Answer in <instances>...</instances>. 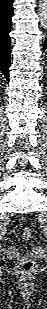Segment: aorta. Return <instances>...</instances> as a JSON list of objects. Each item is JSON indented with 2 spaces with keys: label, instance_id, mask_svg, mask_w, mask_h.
Listing matches in <instances>:
<instances>
[{
  "label": "aorta",
  "instance_id": "762f6f07",
  "mask_svg": "<svg viewBox=\"0 0 47 309\" xmlns=\"http://www.w3.org/2000/svg\"><path fill=\"white\" fill-rule=\"evenodd\" d=\"M47 20V0H43L40 7V22L43 27L46 26Z\"/></svg>",
  "mask_w": 47,
  "mask_h": 309
}]
</instances>
